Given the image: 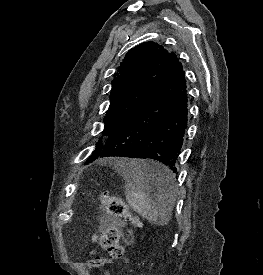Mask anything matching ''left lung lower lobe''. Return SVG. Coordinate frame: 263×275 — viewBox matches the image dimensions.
I'll return each mask as SVG.
<instances>
[{
  "instance_id": "1",
  "label": "left lung lower lobe",
  "mask_w": 263,
  "mask_h": 275,
  "mask_svg": "<svg viewBox=\"0 0 263 275\" xmlns=\"http://www.w3.org/2000/svg\"><path fill=\"white\" fill-rule=\"evenodd\" d=\"M187 114L185 73L175 56L160 82L121 128L107 138L101 152L92 161L98 157L114 156L153 159L176 172ZM144 172L150 183L165 185L170 181L163 172L153 169Z\"/></svg>"
}]
</instances>
